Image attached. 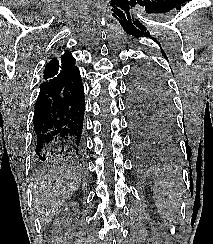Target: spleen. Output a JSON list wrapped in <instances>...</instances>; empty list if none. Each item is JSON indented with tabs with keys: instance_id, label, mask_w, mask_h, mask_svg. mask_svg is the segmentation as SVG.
I'll return each instance as SVG.
<instances>
[{
	"instance_id": "spleen-1",
	"label": "spleen",
	"mask_w": 213,
	"mask_h": 244,
	"mask_svg": "<svg viewBox=\"0 0 213 244\" xmlns=\"http://www.w3.org/2000/svg\"><path fill=\"white\" fill-rule=\"evenodd\" d=\"M156 184L160 189V195L155 202L159 212L166 218H174V209L178 207V191L181 182L178 174L166 171L161 177L156 179Z\"/></svg>"
}]
</instances>
